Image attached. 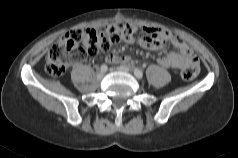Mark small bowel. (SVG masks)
Masks as SVG:
<instances>
[{
    "label": "small bowel",
    "mask_w": 238,
    "mask_h": 158,
    "mask_svg": "<svg viewBox=\"0 0 238 158\" xmlns=\"http://www.w3.org/2000/svg\"><path fill=\"white\" fill-rule=\"evenodd\" d=\"M132 27L134 34L129 40H126L130 43H136L148 50H160L169 43L177 49L178 52H169L158 58L157 62L161 66L172 70H179L190 65H198V59L190 46L178 36L164 29L148 26L142 28L141 35H136V28ZM129 60V56L106 55V61L111 64H124L129 62Z\"/></svg>",
    "instance_id": "1"
}]
</instances>
